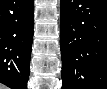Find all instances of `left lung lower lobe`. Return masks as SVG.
Returning <instances> with one entry per match:
<instances>
[{
  "label": "left lung lower lobe",
  "instance_id": "1",
  "mask_svg": "<svg viewBox=\"0 0 107 89\" xmlns=\"http://www.w3.org/2000/svg\"><path fill=\"white\" fill-rule=\"evenodd\" d=\"M62 89H107V0H61Z\"/></svg>",
  "mask_w": 107,
  "mask_h": 89
}]
</instances>
